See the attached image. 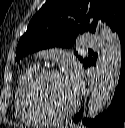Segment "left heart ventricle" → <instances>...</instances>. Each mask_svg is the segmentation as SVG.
I'll list each match as a JSON object with an SVG mask.
<instances>
[{
    "instance_id": "b2bd125f",
    "label": "left heart ventricle",
    "mask_w": 125,
    "mask_h": 128,
    "mask_svg": "<svg viewBox=\"0 0 125 128\" xmlns=\"http://www.w3.org/2000/svg\"><path fill=\"white\" fill-rule=\"evenodd\" d=\"M41 96L45 105L54 112L69 108L76 98L61 74L44 82L41 87Z\"/></svg>"
}]
</instances>
